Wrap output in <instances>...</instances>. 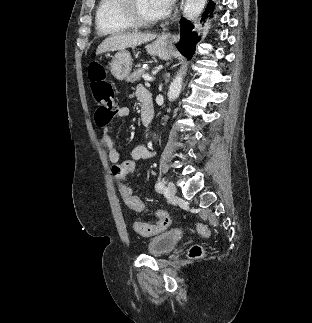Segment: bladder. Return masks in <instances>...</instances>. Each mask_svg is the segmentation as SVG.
<instances>
[{"mask_svg": "<svg viewBox=\"0 0 312 323\" xmlns=\"http://www.w3.org/2000/svg\"><path fill=\"white\" fill-rule=\"evenodd\" d=\"M180 235L177 230L167 231L166 233L154 235L148 241L147 251L151 256H163L173 250L179 242Z\"/></svg>", "mask_w": 312, "mask_h": 323, "instance_id": "31cf9c89", "label": "bladder"}]
</instances>
